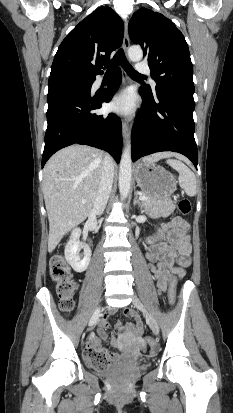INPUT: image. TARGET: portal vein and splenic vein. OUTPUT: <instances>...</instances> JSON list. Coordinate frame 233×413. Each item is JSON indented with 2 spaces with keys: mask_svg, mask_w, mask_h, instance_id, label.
I'll list each match as a JSON object with an SVG mask.
<instances>
[{
  "mask_svg": "<svg viewBox=\"0 0 233 413\" xmlns=\"http://www.w3.org/2000/svg\"><path fill=\"white\" fill-rule=\"evenodd\" d=\"M140 199L144 201V200H147V197H145V196H140ZM167 200H168V199H167ZM83 203H85V201H83Z\"/></svg>",
  "mask_w": 233,
  "mask_h": 413,
  "instance_id": "18ae733b",
  "label": "portal vein and splenic vein"
}]
</instances>
